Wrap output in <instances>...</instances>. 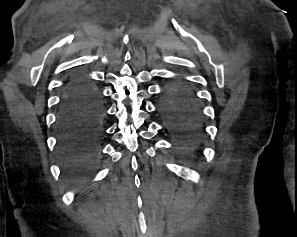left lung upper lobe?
Segmentation results:
<instances>
[{"mask_svg":"<svg viewBox=\"0 0 297 237\" xmlns=\"http://www.w3.org/2000/svg\"><path fill=\"white\" fill-rule=\"evenodd\" d=\"M187 100L196 101V96L193 91L185 84H175L168 89L164 103L170 104Z\"/></svg>","mask_w":297,"mask_h":237,"instance_id":"5c2ea615","label":"left lung upper lobe"}]
</instances>
